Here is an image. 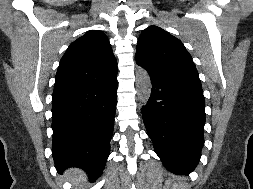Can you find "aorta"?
Returning a JSON list of instances; mask_svg holds the SVG:
<instances>
[{"instance_id":"1","label":"aorta","mask_w":253,"mask_h":189,"mask_svg":"<svg viewBox=\"0 0 253 189\" xmlns=\"http://www.w3.org/2000/svg\"><path fill=\"white\" fill-rule=\"evenodd\" d=\"M152 83L149 73L143 69L138 68L136 71V90L138 99L142 104H146L150 98Z\"/></svg>"}]
</instances>
